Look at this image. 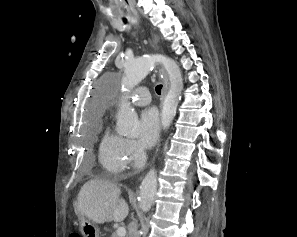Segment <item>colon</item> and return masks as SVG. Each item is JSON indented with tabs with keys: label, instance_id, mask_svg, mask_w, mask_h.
Segmentation results:
<instances>
[{
	"label": "colon",
	"instance_id": "obj_1",
	"mask_svg": "<svg viewBox=\"0 0 297 237\" xmlns=\"http://www.w3.org/2000/svg\"><path fill=\"white\" fill-rule=\"evenodd\" d=\"M71 237H80L78 234H72Z\"/></svg>",
	"mask_w": 297,
	"mask_h": 237
}]
</instances>
